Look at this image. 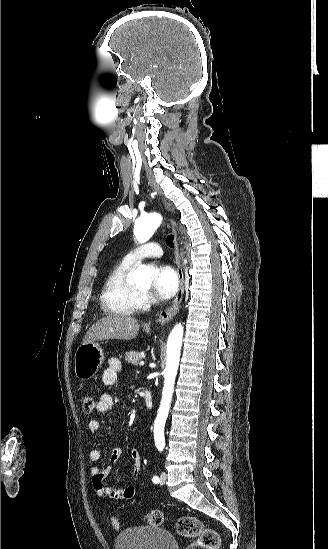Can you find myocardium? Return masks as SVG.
<instances>
[{
  "label": "myocardium",
  "instance_id": "1",
  "mask_svg": "<svg viewBox=\"0 0 328 549\" xmlns=\"http://www.w3.org/2000/svg\"><path fill=\"white\" fill-rule=\"evenodd\" d=\"M147 267L149 268H152V265L151 264H148L146 265ZM135 290L136 292L141 296V297H145V295L147 294V291H143L142 289H140L139 287L135 286Z\"/></svg>",
  "mask_w": 328,
  "mask_h": 549
}]
</instances>
